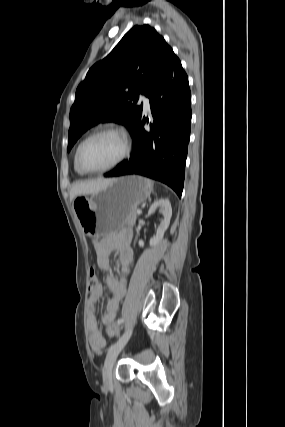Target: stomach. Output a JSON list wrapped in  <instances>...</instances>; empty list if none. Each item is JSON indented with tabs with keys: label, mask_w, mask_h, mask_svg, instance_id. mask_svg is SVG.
<instances>
[{
	"label": "stomach",
	"mask_w": 285,
	"mask_h": 427,
	"mask_svg": "<svg viewBox=\"0 0 285 427\" xmlns=\"http://www.w3.org/2000/svg\"><path fill=\"white\" fill-rule=\"evenodd\" d=\"M151 192L150 180L136 175L123 176L99 192L77 196L72 206L84 232L104 237L128 225L129 213L148 199Z\"/></svg>",
	"instance_id": "stomach-1"
}]
</instances>
